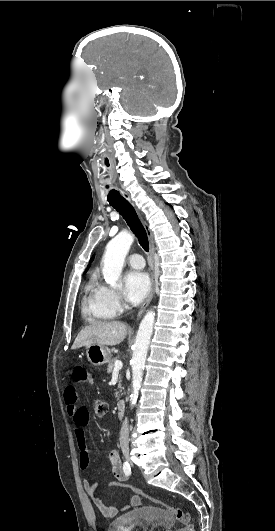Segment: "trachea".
I'll use <instances>...</instances> for the list:
<instances>
[{
  "label": "trachea",
  "instance_id": "trachea-1",
  "mask_svg": "<svg viewBox=\"0 0 275 531\" xmlns=\"http://www.w3.org/2000/svg\"><path fill=\"white\" fill-rule=\"evenodd\" d=\"M108 201L127 222L129 228L138 238L139 244L145 251H149V241L145 228L141 224L133 206L120 195L119 191L112 190L108 195Z\"/></svg>",
  "mask_w": 275,
  "mask_h": 531
}]
</instances>
